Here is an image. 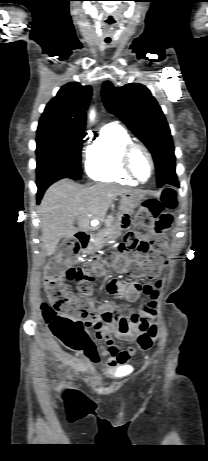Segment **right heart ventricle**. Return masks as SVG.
<instances>
[{
    "mask_svg": "<svg viewBox=\"0 0 208 461\" xmlns=\"http://www.w3.org/2000/svg\"><path fill=\"white\" fill-rule=\"evenodd\" d=\"M130 142L131 136L122 126L114 123L105 125L87 149V175L99 182L135 184L136 181L125 172L121 162L122 151Z\"/></svg>",
    "mask_w": 208,
    "mask_h": 461,
    "instance_id": "e07e8e85",
    "label": "right heart ventricle"
}]
</instances>
